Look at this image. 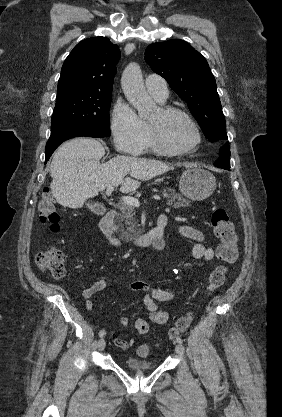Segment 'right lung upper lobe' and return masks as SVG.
Wrapping results in <instances>:
<instances>
[{"instance_id":"cb5924a9","label":"right lung upper lobe","mask_w":282,"mask_h":417,"mask_svg":"<svg viewBox=\"0 0 282 417\" xmlns=\"http://www.w3.org/2000/svg\"><path fill=\"white\" fill-rule=\"evenodd\" d=\"M120 51L106 37L78 43L64 61L57 93L93 90L111 92Z\"/></svg>"}]
</instances>
